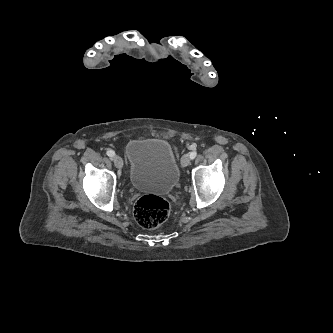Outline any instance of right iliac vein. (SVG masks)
<instances>
[{"label": "right iliac vein", "instance_id": "right-iliac-vein-1", "mask_svg": "<svg viewBox=\"0 0 333 333\" xmlns=\"http://www.w3.org/2000/svg\"><path fill=\"white\" fill-rule=\"evenodd\" d=\"M112 160L117 168L123 167V160L120 156L115 155V156H113Z\"/></svg>", "mask_w": 333, "mask_h": 333}]
</instances>
